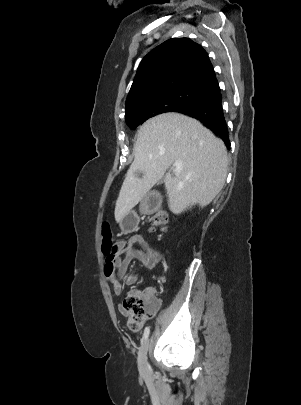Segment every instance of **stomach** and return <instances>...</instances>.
Returning <instances> with one entry per match:
<instances>
[{
    "label": "stomach",
    "instance_id": "stomach-1",
    "mask_svg": "<svg viewBox=\"0 0 301 405\" xmlns=\"http://www.w3.org/2000/svg\"><path fill=\"white\" fill-rule=\"evenodd\" d=\"M138 222V216L134 212H128L120 222L123 230H129L132 225Z\"/></svg>",
    "mask_w": 301,
    "mask_h": 405
}]
</instances>
